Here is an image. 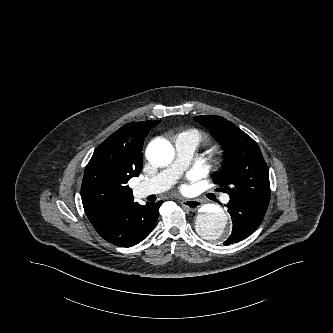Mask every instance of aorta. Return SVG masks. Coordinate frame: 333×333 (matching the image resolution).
Masks as SVG:
<instances>
[{
	"label": "aorta",
	"mask_w": 333,
	"mask_h": 333,
	"mask_svg": "<svg viewBox=\"0 0 333 333\" xmlns=\"http://www.w3.org/2000/svg\"><path fill=\"white\" fill-rule=\"evenodd\" d=\"M173 157L174 149L166 140H154L146 149V158L153 165H167L173 160ZM196 229L202 237L212 242H219L229 235V218L219 207H201L196 215Z\"/></svg>",
	"instance_id": "aorta-1"
}]
</instances>
